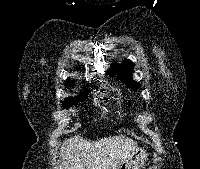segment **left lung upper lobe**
<instances>
[{"instance_id":"1","label":"left lung upper lobe","mask_w":200,"mask_h":169,"mask_svg":"<svg viewBox=\"0 0 200 169\" xmlns=\"http://www.w3.org/2000/svg\"><path fill=\"white\" fill-rule=\"evenodd\" d=\"M133 62L124 60L121 65L113 63L107 74L115 75L116 78L122 79L131 88H139L140 85L132 79Z\"/></svg>"}]
</instances>
